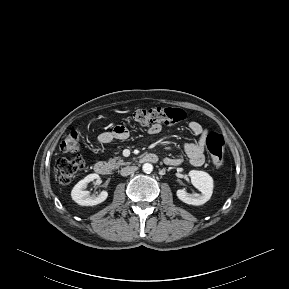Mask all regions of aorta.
Segmentation results:
<instances>
[{
  "mask_svg": "<svg viewBox=\"0 0 289 289\" xmlns=\"http://www.w3.org/2000/svg\"><path fill=\"white\" fill-rule=\"evenodd\" d=\"M142 170H143L145 173L149 174V173H151V172L153 171V165L150 164V163H145V164H143V166H142Z\"/></svg>",
  "mask_w": 289,
  "mask_h": 289,
  "instance_id": "obj_1",
  "label": "aorta"
}]
</instances>
